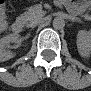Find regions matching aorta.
Returning <instances> with one entry per match:
<instances>
[{
    "instance_id": "762f6f07",
    "label": "aorta",
    "mask_w": 91,
    "mask_h": 91,
    "mask_svg": "<svg viewBox=\"0 0 91 91\" xmlns=\"http://www.w3.org/2000/svg\"><path fill=\"white\" fill-rule=\"evenodd\" d=\"M65 26V21L61 17H56L53 20V27L55 29H62Z\"/></svg>"
}]
</instances>
